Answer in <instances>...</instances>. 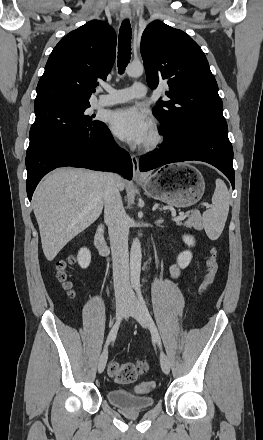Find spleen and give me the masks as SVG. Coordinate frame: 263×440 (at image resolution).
Here are the masks:
<instances>
[{
    "label": "spleen",
    "mask_w": 263,
    "mask_h": 440,
    "mask_svg": "<svg viewBox=\"0 0 263 440\" xmlns=\"http://www.w3.org/2000/svg\"><path fill=\"white\" fill-rule=\"evenodd\" d=\"M216 188L212 196V208L203 213V227L211 240L220 237L229 212L230 195L222 179H217Z\"/></svg>",
    "instance_id": "1"
}]
</instances>
